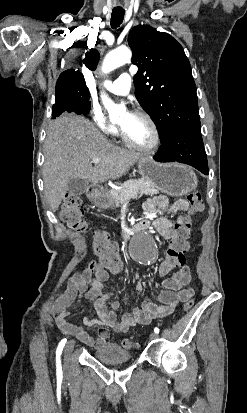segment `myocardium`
Listing matches in <instances>:
<instances>
[{
	"instance_id": "myocardium-1",
	"label": "myocardium",
	"mask_w": 247,
	"mask_h": 413,
	"mask_svg": "<svg viewBox=\"0 0 247 413\" xmlns=\"http://www.w3.org/2000/svg\"><path fill=\"white\" fill-rule=\"evenodd\" d=\"M139 116H140L141 118L145 119V120L149 123V125L151 126V128L154 130L155 138H154L153 142L150 143V144H141V143H138V142L134 141L133 139H131V138L120 128V134H121L122 140L124 141V143H125L128 147L133 148V149H135V150H137V151L149 152V151H152V150L157 149V148L161 145L162 139H163L161 129L159 128V126L156 124V122L154 121V119H153L148 113H146V112H144V111H141V112L139 113Z\"/></svg>"
}]
</instances>
